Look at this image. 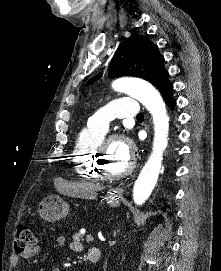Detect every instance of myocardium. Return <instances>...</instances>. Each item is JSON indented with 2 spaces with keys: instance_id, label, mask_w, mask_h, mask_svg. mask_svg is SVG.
I'll return each mask as SVG.
<instances>
[{
  "instance_id": "obj_1",
  "label": "myocardium",
  "mask_w": 221,
  "mask_h": 271,
  "mask_svg": "<svg viewBox=\"0 0 221 271\" xmlns=\"http://www.w3.org/2000/svg\"><path fill=\"white\" fill-rule=\"evenodd\" d=\"M111 142H126V145H133V140H128V137H125V134H117V137H111ZM109 140L106 142L108 145L111 143ZM108 145H99V150H108ZM128 150V149H127ZM98 164L99 168L98 171L100 172V178H109V179H127L128 175L131 174V172H134L138 169V166L136 165V158L130 157L128 161V167L126 170H121L120 173H110L109 170H107V165L105 164V158H98Z\"/></svg>"
}]
</instances>
